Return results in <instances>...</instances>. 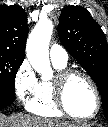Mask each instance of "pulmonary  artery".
<instances>
[{"mask_svg":"<svg viewBox=\"0 0 108 127\" xmlns=\"http://www.w3.org/2000/svg\"><path fill=\"white\" fill-rule=\"evenodd\" d=\"M50 59L53 63L67 64L68 53L67 51L58 44H54L50 48Z\"/></svg>","mask_w":108,"mask_h":127,"instance_id":"1","label":"pulmonary artery"}]
</instances>
